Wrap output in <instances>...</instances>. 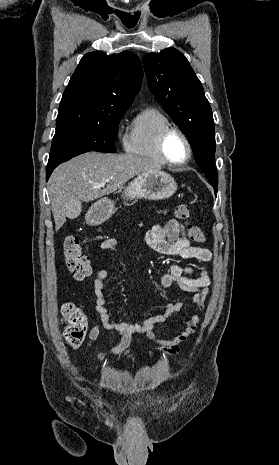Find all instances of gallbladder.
Listing matches in <instances>:
<instances>
[{"label": "gallbladder", "instance_id": "1", "mask_svg": "<svg viewBox=\"0 0 279 465\" xmlns=\"http://www.w3.org/2000/svg\"><path fill=\"white\" fill-rule=\"evenodd\" d=\"M65 209L67 218L75 219L80 215L81 203L78 200H73L66 204Z\"/></svg>", "mask_w": 279, "mask_h": 465}]
</instances>
